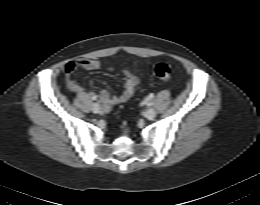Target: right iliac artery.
<instances>
[{
  "instance_id": "1",
  "label": "right iliac artery",
  "mask_w": 260,
  "mask_h": 205,
  "mask_svg": "<svg viewBox=\"0 0 260 205\" xmlns=\"http://www.w3.org/2000/svg\"><path fill=\"white\" fill-rule=\"evenodd\" d=\"M92 98H93V100H96V99H97V97H96V96H93Z\"/></svg>"
}]
</instances>
